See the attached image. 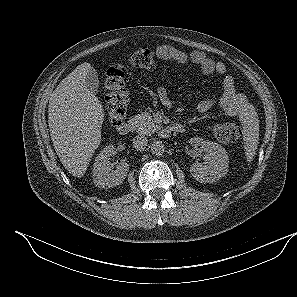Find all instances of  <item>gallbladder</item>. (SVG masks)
I'll list each match as a JSON object with an SVG mask.
<instances>
[{
  "mask_svg": "<svg viewBox=\"0 0 297 297\" xmlns=\"http://www.w3.org/2000/svg\"><path fill=\"white\" fill-rule=\"evenodd\" d=\"M85 85L92 94L95 95L96 93H98V88H99L98 73L93 67H91L88 70V73L85 77Z\"/></svg>",
  "mask_w": 297,
  "mask_h": 297,
  "instance_id": "obj_1",
  "label": "gallbladder"
}]
</instances>
